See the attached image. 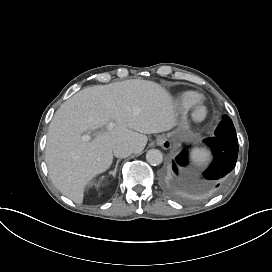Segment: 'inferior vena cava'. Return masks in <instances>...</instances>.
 <instances>
[{"instance_id":"obj_1","label":"inferior vena cava","mask_w":272,"mask_h":272,"mask_svg":"<svg viewBox=\"0 0 272 272\" xmlns=\"http://www.w3.org/2000/svg\"><path fill=\"white\" fill-rule=\"evenodd\" d=\"M113 153L118 158H125L133 153V146L126 142L120 143L114 147Z\"/></svg>"}]
</instances>
